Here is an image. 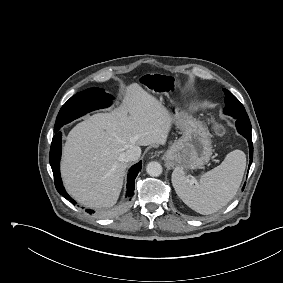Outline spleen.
I'll list each match as a JSON object with an SVG mask.
<instances>
[{"label": "spleen", "instance_id": "spleen-1", "mask_svg": "<svg viewBox=\"0 0 283 283\" xmlns=\"http://www.w3.org/2000/svg\"><path fill=\"white\" fill-rule=\"evenodd\" d=\"M246 166L241 150L227 154L224 161L206 172L194 184L180 167L172 173V184L179 198L194 211L208 215L225 206L237 193Z\"/></svg>", "mask_w": 283, "mask_h": 283}]
</instances>
